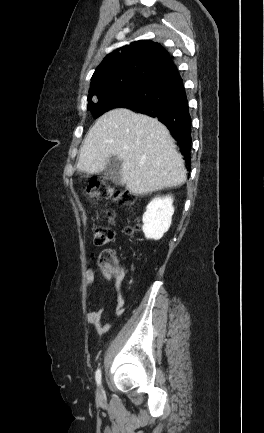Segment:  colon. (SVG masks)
<instances>
[{
	"label": "colon",
	"instance_id": "5ec220e1",
	"mask_svg": "<svg viewBox=\"0 0 264 433\" xmlns=\"http://www.w3.org/2000/svg\"><path fill=\"white\" fill-rule=\"evenodd\" d=\"M86 194L90 198L97 200L111 199L114 202L121 205H132L135 202V195L129 191L116 189L111 185L101 182L98 180L90 181ZM113 212L111 210L106 211V222H97L92 227L93 242L96 246H106L112 243L114 239V232L111 227L113 220ZM140 228L138 222L130 224L126 227V232L129 235H134ZM99 263L108 272L115 274L117 273V259L115 254L110 251H104L99 257Z\"/></svg>",
	"mask_w": 264,
	"mask_h": 433
}]
</instances>
